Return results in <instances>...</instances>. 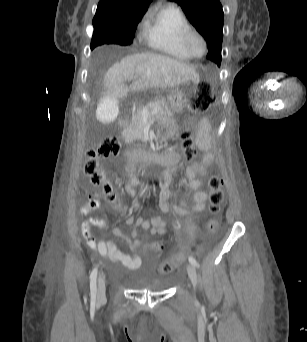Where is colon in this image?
<instances>
[{
	"label": "colon",
	"mask_w": 307,
	"mask_h": 342,
	"mask_svg": "<svg viewBox=\"0 0 307 342\" xmlns=\"http://www.w3.org/2000/svg\"><path fill=\"white\" fill-rule=\"evenodd\" d=\"M199 94H205L200 100L192 101L189 108L192 112H205L212 103V87L211 82H198ZM180 140L185 150V155L188 160H194L196 156V149L192 145V137L188 130L183 129L180 133ZM121 144V139L117 136H107L101 139L98 143L90 146L87 149L86 157L83 164V172L88 177L91 184L103 187L107 200L114 204L116 208L120 207L118 195L113 190V185L107 182L104 171L102 169V162L110 159L118 150ZM223 179L220 175L212 174L208 180L209 190V211L216 215L222 209L223 204ZM218 229V222L211 220L208 224V231L216 232ZM155 252H163L165 244L158 242L148 247ZM184 258L182 256L176 257L175 261H164L159 268L160 273L170 274L175 266H180Z\"/></svg>",
	"instance_id": "obj_1"
}]
</instances>
